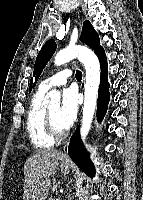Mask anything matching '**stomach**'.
<instances>
[{
    "instance_id": "1",
    "label": "stomach",
    "mask_w": 143,
    "mask_h": 200,
    "mask_svg": "<svg viewBox=\"0 0 143 200\" xmlns=\"http://www.w3.org/2000/svg\"><path fill=\"white\" fill-rule=\"evenodd\" d=\"M61 172L67 174L69 172V166H66L64 163L61 165Z\"/></svg>"
}]
</instances>
